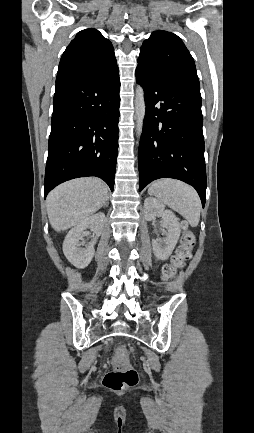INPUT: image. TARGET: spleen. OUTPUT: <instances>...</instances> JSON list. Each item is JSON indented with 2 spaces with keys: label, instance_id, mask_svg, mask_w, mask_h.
<instances>
[{
  "label": "spleen",
  "instance_id": "obj_1",
  "mask_svg": "<svg viewBox=\"0 0 254 433\" xmlns=\"http://www.w3.org/2000/svg\"><path fill=\"white\" fill-rule=\"evenodd\" d=\"M148 193L182 215L192 227L199 224L201 201L193 187L165 178L153 182Z\"/></svg>",
  "mask_w": 254,
  "mask_h": 433
}]
</instances>
